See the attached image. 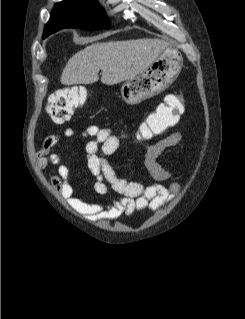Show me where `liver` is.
<instances>
[{"mask_svg":"<svg viewBox=\"0 0 245 319\" xmlns=\"http://www.w3.org/2000/svg\"><path fill=\"white\" fill-rule=\"evenodd\" d=\"M169 46L159 39H136L94 43L74 54L65 65L64 85L92 84L99 80L115 85L143 72Z\"/></svg>","mask_w":245,"mask_h":319,"instance_id":"obj_1","label":"liver"}]
</instances>
